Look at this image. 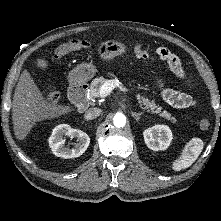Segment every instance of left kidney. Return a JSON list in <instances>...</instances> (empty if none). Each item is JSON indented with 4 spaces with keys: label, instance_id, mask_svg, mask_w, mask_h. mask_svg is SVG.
<instances>
[{
    "label": "left kidney",
    "instance_id": "left-kidney-1",
    "mask_svg": "<svg viewBox=\"0 0 221 221\" xmlns=\"http://www.w3.org/2000/svg\"><path fill=\"white\" fill-rule=\"evenodd\" d=\"M145 143L154 151L166 150L172 139V132L166 125H155L143 132Z\"/></svg>",
    "mask_w": 221,
    "mask_h": 221
}]
</instances>
